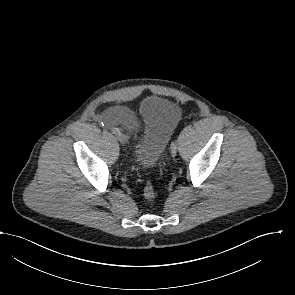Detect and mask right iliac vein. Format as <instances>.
Masks as SVG:
<instances>
[{
  "label": "right iliac vein",
  "instance_id": "1",
  "mask_svg": "<svg viewBox=\"0 0 295 295\" xmlns=\"http://www.w3.org/2000/svg\"><path fill=\"white\" fill-rule=\"evenodd\" d=\"M117 138L121 144H125L128 141V138L124 133H119Z\"/></svg>",
  "mask_w": 295,
  "mask_h": 295
}]
</instances>
